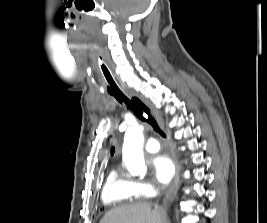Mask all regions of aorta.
I'll list each match as a JSON object with an SVG mask.
<instances>
[{"instance_id": "1", "label": "aorta", "mask_w": 267, "mask_h": 223, "mask_svg": "<svg viewBox=\"0 0 267 223\" xmlns=\"http://www.w3.org/2000/svg\"><path fill=\"white\" fill-rule=\"evenodd\" d=\"M143 127L139 125L127 129L123 144V161L131 175H142L146 173L143 156Z\"/></svg>"}]
</instances>
